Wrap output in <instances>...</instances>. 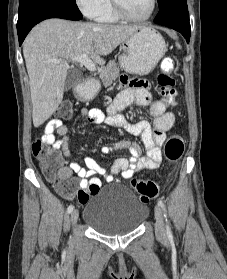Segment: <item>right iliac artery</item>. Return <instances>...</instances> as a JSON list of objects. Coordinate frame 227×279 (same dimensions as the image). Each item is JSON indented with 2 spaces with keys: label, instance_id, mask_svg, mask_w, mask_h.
Listing matches in <instances>:
<instances>
[{
  "label": "right iliac artery",
  "instance_id": "right-iliac-artery-1",
  "mask_svg": "<svg viewBox=\"0 0 227 279\" xmlns=\"http://www.w3.org/2000/svg\"><path fill=\"white\" fill-rule=\"evenodd\" d=\"M73 208H74L73 205H69V206H68V209H67V212H68V213H71V212L73 211Z\"/></svg>",
  "mask_w": 227,
  "mask_h": 279
}]
</instances>
